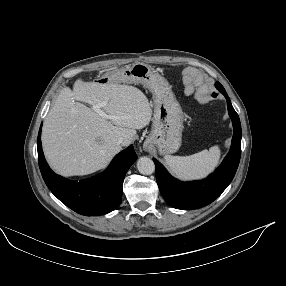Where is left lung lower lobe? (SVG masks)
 <instances>
[{"label": "left lung lower lobe", "mask_w": 286, "mask_h": 286, "mask_svg": "<svg viewBox=\"0 0 286 286\" xmlns=\"http://www.w3.org/2000/svg\"><path fill=\"white\" fill-rule=\"evenodd\" d=\"M227 99L228 113L232 119L234 134L231 149L217 170L204 180L181 182L173 178L167 170L153 158L156 167V180L165 201L177 209H196L204 207L216 198L232 181L241 156V124L231 101Z\"/></svg>", "instance_id": "left-lung-lower-lobe-1"}]
</instances>
